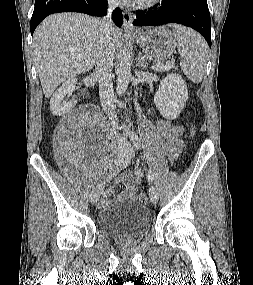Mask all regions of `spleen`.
Returning <instances> with one entry per match:
<instances>
[{"instance_id": "3e777b00", "label": "spleen", "mask_w": 253, "mask_h": 285, "mask_svg": "<svg viewBox=\"0 0 253 285\" xmlns=\"http://www.w3.org/2000/svg\"><path fill=\"white\" fill-rule=\"evenodd\" d=\"M173 27L178 52L182 58L180 67L190 81L200 83L206 67L207 44L193 29L181 25Z\"/></svg>"}]
</instances>
